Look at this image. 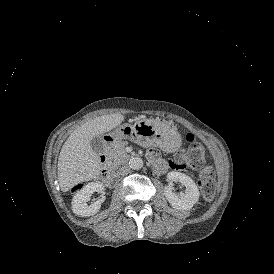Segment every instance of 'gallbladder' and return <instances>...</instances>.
<instances>
[{
  "label": "gallbladder",
  "mask_w": 274,
  "mask_h": 274,
  "mask_svg": "<svg viewBox=\"0 0 274 274\" xmlns=\"http://www.w3.org/2000/svg\"><path fill=\"white\" fill-rule=\"evenodd\" d=\"M90 145L92 147V149L94 150V152L96 153H102L103 149H104V142L101 136H96L94 137L91 142Z\"/></svg>",
  "instance_id": "1"
}]
</instances>
